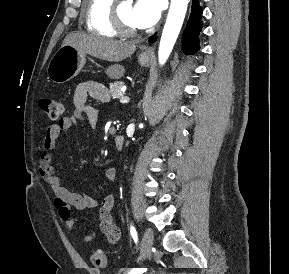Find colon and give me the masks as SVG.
Here are the masks:
<instances>
[{
    "mask_svg": "<svg viewBox=\"0 0 289 274\" xmlns=\"http://www.w3.org/2000/svg\"><path fill=\"white\" fill-rule=\"evenodd\" d=\"M40 107L52 120L60 118L64 113V105L57 100L42 99L40 101ZM91 260L97 268H105L107 266L106 256L100 250L93 251Z\"/></svg>",
    "mask_w": 289,
    "mask_h": 274,
    "instance_id": "5ec220e1",
    "label": "colon"
}]
</instances>
